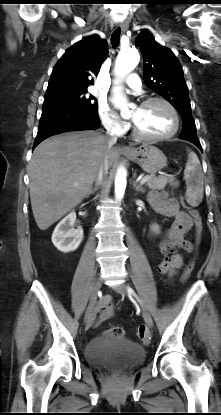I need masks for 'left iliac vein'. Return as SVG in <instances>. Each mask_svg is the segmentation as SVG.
<instances>
[{
    "label": "left iliac vein",
    "mask_w": 221,
    "mask_h": 415,
    "mask_svg": "<svg viewBox=\"0 0 221 415\" xmlns=\"http://www.w3.org/2000/svg\"><path fill=\"white\" fill-rule=\"evenodd\" d=\"M114 290H115L116 292L120 293L121 295L129 296V293H128V290H127V287H126L124 284H119V285H116V286L114 287ZM142 315H143V318H144V321H145L146 325H147L149 328H152V326H153V320H152V317H151V315L149 314V312H148V311H146L145 309H143V310H142Z\"/></svg>",
    "instance_id": "4c4485c4"
}]
</instances>
